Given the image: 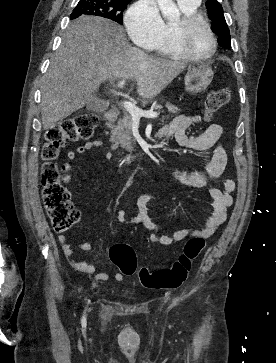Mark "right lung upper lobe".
Returning <instances> with one entry per match:
<instances>
[{
  "instance_id": "obj_1",
  "label": "right lung upper lobe",
  "mask_w": 276,
  "mask_h": 363,
  "mask_svg": "<svg viewBox=\"0 0 276 363\" xmlns=\"http://www.w3.org/2000/svg\"><path fill=\"white\" fill-rule=\"evenodd\" d=\"M119 1H128V2H129V1H131V0H119Z\"/></svg>"
}]
</instances>
